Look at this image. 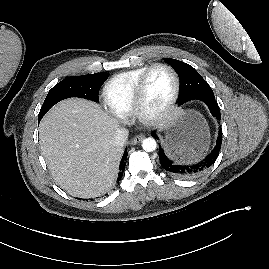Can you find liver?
Masks as SVG:
<instances>
[{
  "instance_id": "obj_1",
  "label": "liver",
  "mask_w": 269,
  "mask_h": 269,
  "mask_svg": "<svg viewBox=\"0 0 269 269\" xmlns=\"http://www.w3.org/2000/svg\"><path fill=\"white\" fill-rule=\"evenodd\" d=\"M164 121L160 127H166ZM116 119L92 101L71 98L55 105L39 125L41 152L56 183L69 194L90 198L114 184L123 147L112 139Z\"/></svg>"
}]
</instances>
